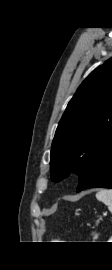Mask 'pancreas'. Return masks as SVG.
Returning <instances> with one entry per match:
<instances>
[{
  "mask_svg": "<svg viewBox=\"0 0 112 270\" xmlns=\"http://www.w3.org/2000/svg\"><path fill=\"white\" fill-rule=\"evenodd\" d=\"M98 238V234L93 233V239H97Z\"/></svg>",
  "mask_w": 112,
  "mask_h": 270,
  "instance_id": "obj_1",
  "label": "pancreas"
}]
</instances>
